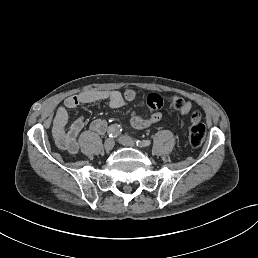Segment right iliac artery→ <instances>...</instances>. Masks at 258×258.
<instances>
[{"label":"right iliac artery","instance_id":"82829eb1","mask_svg":"<svg viewBox=\"0 0 258 258\" xmlns=\"http://www.w3.org/2000/svg\"><path fill=\"white\" fill-rule=\"evenodd\" d=\"M123 128L121 125L113 124L109 127L107 134L110 138H115L122 132Z\"/></svg>","mask_w":258,"mask_h":258}]
</instances>
